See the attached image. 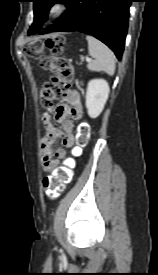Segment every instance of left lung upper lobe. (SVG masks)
<instances>
[{"instance_id":"1","label":"left lung upper lobe","mask_w":158,"mask_h":275,"mask_svg":"<svg viewBox=\"0 0 158 275\" xmlns=\"http://www.w3.org/2000/svg\"><path fill=\"white\" fill-rule=\"evenodd\" d=\"M64 2H65V0H33L34 22L31 25L28 33L34 34L39 31L42 24L47 19L50 7L54 3H64Z\"/></svg>"}]
</instances>
